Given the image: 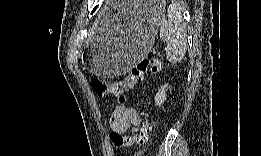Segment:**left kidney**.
I'll list each match as a JSON object with an SVG mask.
<instances>
[{
    "label": "left kidney",
    "instance_id": "obj_1",
    "mask_svg": "<svg viewBox=\"0 0 261 156\" xmlns=\"http://www.w3.org/2000/svg\"><path fill=\"white\" fill-rule=\"evenodd\" d=\"M168 87V84L161 86L158 92L155 95V103L158 106H161L166 100V91L165 89Z\"/></svg>",
    "mask_w": 261,
    "mask_h": 156
}]
</instances>
